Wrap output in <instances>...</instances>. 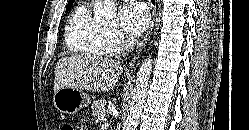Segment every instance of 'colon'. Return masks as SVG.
Here are the masks:
<instances>
[{"label": "colon", "instance_id": "1", "mask_svg": "<svg viewBox=\"0 0 249 130\" xmlns=\"http://www.w3.org/2000/svg\"><path fill=\"white\" fill-rule=\"evenodd\" d=\"M60 130H75V127L70 123H65Z\"/></svg>", "mask_w": 249, "mask_h": 130}]
</instances>
